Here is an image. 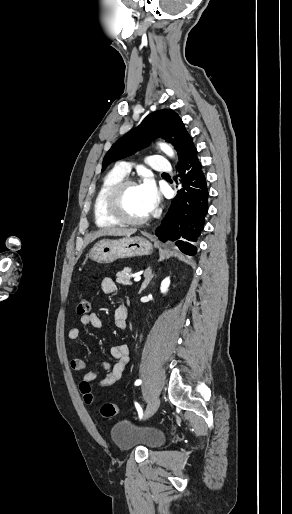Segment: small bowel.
Listing matches in <instances>:
<instances>
[{"label":"small bowel","instance_id":"c3829d8e","mask_svg":"<svg viewBox=\"0 0 292 514\" xmlns=\"http://www.w3.org/2000/svg\"><path fill=\"white\" fill-rule=\"evenodd\" d=\"M102 291L106 294H114L117 291L115 281L110 277H105L101 281ZM128 309L124 305H118L114 309V325L119 330L127 328ZM82 325H87L93 329H100L102 321L100 317L95 314H87L80 318ZM81 336V329L72 327L68 331V338L70 340H77ZM111 355L115 358V363L110 364L107 362L100 363V367L104 370V377L98 382L100 387H108L116 384L122 378L123 372L129 362V347L126 344H117L111 348ZM71 368L75 372H81L87 369V363L82 358H74L71 360ZM99 376L96 370L88 371L82 376V382L92 383Z\"/></svg>","mask_w":292,"mask_h":514}]
</instances>
